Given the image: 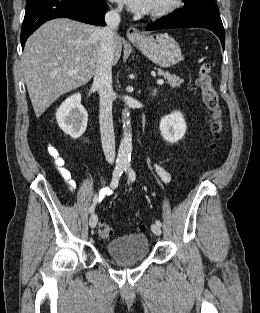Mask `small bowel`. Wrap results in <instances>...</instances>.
<instances>
[{
  "label": "small bowel",
  "mask_w": 260,
  "mask_h": 313,
  "mask_svg": "<svg viewBox=\"0 0 260 313\" xmlns=\"http://www.w3.org/2000/svg\"><path fill=\"white\" fill-rule=\"evenodd\" d=\"M49 154L54 158L55 164L60 167V172H61V175H62L64 181L67 183L70 190L73 191L76 187V183H75L74 179L72 178V174L70 173V171H68L67 169L62 167L64 164V160L61 158L60 153L54 147H50L49 148ZM155 170L164 182L167 183L170 181V179H171L170 174L163 166L156 165ZM104 190L105 189H103L102 191H104ZM102 191L100 192V195L95 198V203H97V202L100 203L104 199L105 194L106 195L111 194L110 190L105 192V193Z\"/></svg>",
  "instance_id": "c3829d8e"
}]
</instances>
